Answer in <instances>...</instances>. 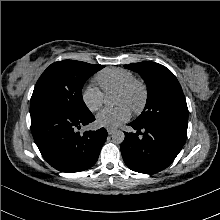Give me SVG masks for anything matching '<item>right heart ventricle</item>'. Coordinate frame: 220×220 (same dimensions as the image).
I'll use <instances>...</instances> for the list:
<instances>
[{"label":"right heart ventricle","mask_w":220,"mask_h":220,"mask_svg":"<svg viewBox=\"0 0 220 220\" xmlns=\"http://www.w3.org/2000/svg\"><path fill=\"white\" fill-rule=\"evenodd\" d=\"M134 79L131 71L123 68H106L100 71L95 80L106 94L116 92L125 84Z\"/></svg>","instance_id":"right-heart-ventricle-1"}]
</instances>
